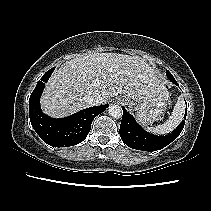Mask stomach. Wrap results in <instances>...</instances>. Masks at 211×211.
<instances>
[{
  "instance_id": "1",
  "label": "stomach",
  "mask_w": 211,
  "mask_h": 211,
  "mask_svg": "<svg viewBox=\"0 0 211 211\" xmlns=\"http://www.w3.org/2000/svg\"><path fill=\"white\" fill-rule=\"evenodd\" d=\"M121 101L132 108L135 103H132L129 98L123 96ZM169 99V93L161 91L154 96L147 97L134 107L136 117L139 123L142 125L152 124L159 119L167 108V101Z\"/></svg>"
}]
</instances>
